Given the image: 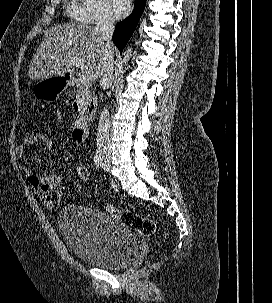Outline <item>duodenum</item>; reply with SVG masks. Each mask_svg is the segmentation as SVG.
I'll list each match as a JSON object with an SVG mask.
<instances>
[{
	"instance_id": "duodenum-1",
	"label": "duodenum",
	"mask_w": 272,
	"mask_h": 303,
	"mask_svg": "<svg viewBox=\"0 0 272 303\" xmlns=\"http://www.w3.org/2000/svg\"><path fill=\"white\" fill-rule=\"evenodd\" d=\"M66 81L69 84H75V77L72 74L66 76ZM73 110L76 116V123L74 127V137L77 142H82L85 140L88 133L89 122L93 119L96 103L92 101L90 105L83 109L79 99H75L73 102Z\"/></svg>"
}]
</instances>
